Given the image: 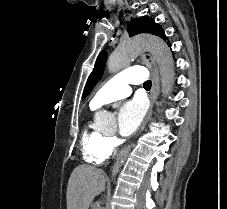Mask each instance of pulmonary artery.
<instances>
[{
	"label": "pulmonary artery",
	"instance_id": "pulmonary-artery-1",
	"mask_svg": "<svg viewBox=\"0 0 227 209\" xmlns=\"http://www.w3.org/2000/svg\"><path fill=\"white\" fill-rule=\"evenodd\" d=\"M145 70V66H130V70L116 73V76L111 78L104 88H100V91H96V95H93L92 107L95 109L113 99L128 96L131 93L132 84L148 83V78H151L152 74L145 73Z\"/></svg>",
	"mask_w": 227,
	"mask_h": 209
}]
</instances>
